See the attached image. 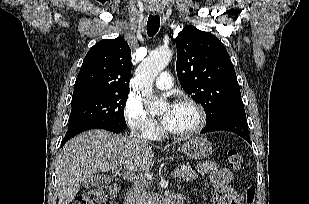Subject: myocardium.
Here are the masks:
<instances>
[{"mask_svg":"<svg viewBox=\"0 0 309 204\" xmlns=\"http://www.w3.org/2000/svg\"><path fill=\"white\" fill-rule=\"evenodd\" d=\"M175 105H182V106L185 105L193 107L198 113V122L194 128L186 132H172L167 128H164V131L169 136L180 139L189 138L201 133L207 124V114L204 107L197 101L190 98L180 99L175 103Z\"/></svg>","mask_w":309,"mask_h":204,"instance_id":"obj_1","label":"myocardium"}]
</instances>
